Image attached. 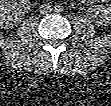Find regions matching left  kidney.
I'll return each mask as SVG.
<instances>
[{
	"instance_id": "5707ae66",
	"label": "left kidney",
	"mask_w": 111,
	"mask_h": 106,
	"mask_svg": "<svg viewBox=\"0 0 111 106\" xmlns=\"http://www.w3.org/2000/svg\"><path fill=\"white\" fill-rule=\"evenodd\" d=\"M111 7H104L103 5H97L89 9V13L92 17L97 18L98 23H111Z\"/></svg>"
}]
</instances>
